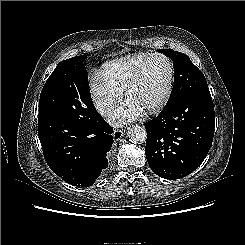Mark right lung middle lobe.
<instances>
[{
  "instance_id": "right-lung-middle-lobe-1",
  "label": "right lung middle lobe",
  "mask_w": 245,
  "mask_h": 245,
  "mask_svg": "<svg viewBox=\"0 0 245 245\" xmlns=\"http://www.w3.org/2000/svg\"><path fill=\"white\" fill-rule=\"evenodd\" d=\"M86 55L58 63L39 100V118H59L85 124L96 110L89 90ZM38 118V119H39Z\"/></svg>"
}]
</instances>
